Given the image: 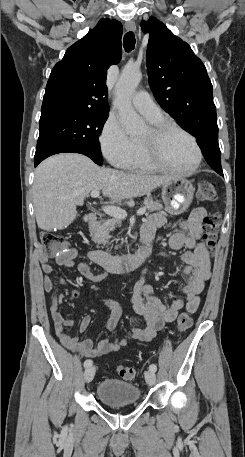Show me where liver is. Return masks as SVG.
I'll list each match as a JSON object with an SVG mask.
<instances>
[{"label":"liver","mask_w":245,"mask_h":457,"mask_svg":"<svg viewBox=\"0 0 245 457\" xmlns=\"http://www.w3.org/2000/svg\"><path fill=\"white\" fill-rule=\"evenodd\" d=\"M172 180L145 172H122L97 166L91 158L62 152L38 164L33 182L35 216L39 229H65L76 218V206L84 204L92 190H102L114 202L150 194L154 188Z\"/></svg>","instance_id":"obj_1"}]
</instances>
